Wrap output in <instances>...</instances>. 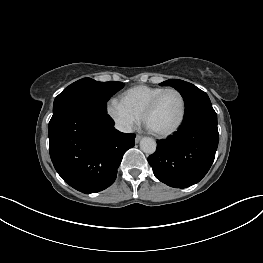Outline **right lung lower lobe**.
<instances>
[{
  "mask_svg": "<svg viewBox=\"0 0 263 263\" xmlns=\"http://www.w3.org/2000/svg\"><path fill=\"white\" fill-rule=\"evenodd\" d=\"M52 163L61 178L82 193H95L116 179L135 134L119 132L107 112L71 107L52 116L49 127Z\"/></svg>",
  "mask_w": 263,
  "mask_h": 263,
  "instance_id": "obj_1",
  "label": "right lung lower lobe"
}]
</instances>
